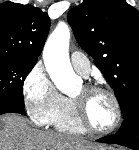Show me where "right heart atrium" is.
<instances>
[{
	"instance_id": "obj_1",
	"label": "right heart atrium",
	"mask_w": 139,
	"mask_h": 150,
	"mask_svg": "<svg viewBox=\"0 0 139 150\" xmlns=\"http://www.w3.org/2000/svg\"><path fill=\"white\" fill-rule=\"evenodd\" d=\"M22 92L24 105L31 120L38 126L50 125L63 96L57 91L41 64H36L26 75Z\"/></svg>"
}]
</instances>
